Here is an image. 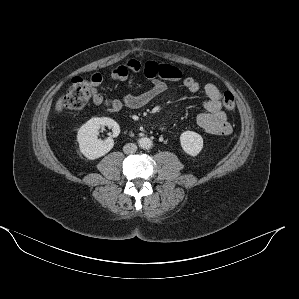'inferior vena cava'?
Listing matches in <instances>:
<instances>
[{"instance_id": "1", "label": "inferior vena cava", "mask_w": 299, "mask_h": 299, "mask_svg": "<svg viewBox=\"0 0 299 299\" xmlns=\"http://www.w3.org/2000/svg\"><path fill=\"white\" fill-rule=\"evenodd\" d=\"M137 151V145L134 143H127L124 147H123V152L125 154H134Z\"/></svg>"}]
</instances>
